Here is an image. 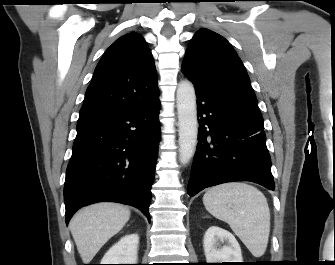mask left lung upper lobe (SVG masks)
Here are the masks:
<instances>
[{
    "mask_svg": "<svg viewBox=\"0 0 335 265\" xmlns=\"http://www.w3.org/2000/svg\"><path fill=\"white\" fill-rule=\"evenodd\" d=\"M182 72L195 87L261 114L242 61L221 35L200 29L187 49Z\"/></svg>",
    "mask_w": 335,
    "mask_h": 265,
    "instance_id": "left-lung-upper-lobe-1",
    "label": "left lung upper lobe"
}]
</instances>
